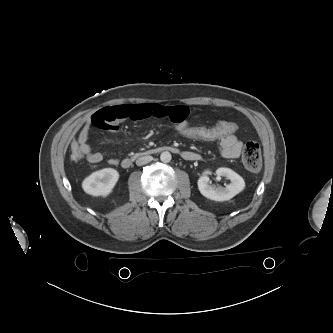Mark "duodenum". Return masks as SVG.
<instances>
[{"instance_id": "obj_1", "label": "duodenum", "mask_w": 333, "mask_h": 333, "mask_svg": "<svg viewBox=\"0 0 333 333\" xmlns=\"http://www.w3.org/2000/svg\"><path fill=\"white\" fill-rule=\"evenodd\" d=\"M163 151H169V152H173V153L178 152V150L172 146L154 147V148L147 149L143 152L137 153L136 155L128 156V157L124 158L121 162V165L123 168H129L137 157L155 155V154L163 152ZM182 156L188 160H196L199 158V156L197 154L190 153V152H182Z\"/></svg>"}]
</instances>
